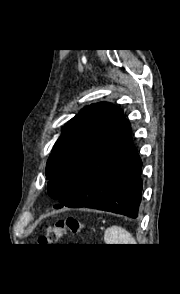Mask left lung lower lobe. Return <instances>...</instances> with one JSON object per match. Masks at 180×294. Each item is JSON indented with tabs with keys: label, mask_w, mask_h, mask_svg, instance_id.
Returning <instances> with one entry per match:
<instances>
[{
	"label": "left lung lower lobe",
	"mask_w": 180,
	"mask_h": 294,
	"mask_svg": "<svg viewBox=\"0 0 180 294\" xmlns=\"http://www.w3.org/2000/svg\"><path fill=\"white\" fill-rule=\"evenodd\" d=\"M142 162L123 115L55 208L85 207L138 216Z\"/></svg>",
	"instance_id": "left-lung-lower-lobe-1"
}]
</instances>
